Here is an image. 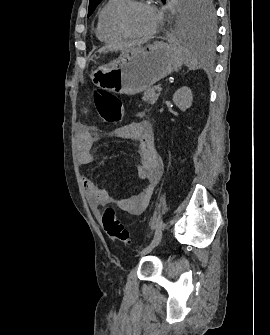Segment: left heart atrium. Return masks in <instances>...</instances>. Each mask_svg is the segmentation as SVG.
Returning a JSON list of instances; mask_svg holds the SVG:
<instances>
[{"label": "left heart atrium", "instance_id": "obj_1", "mask_svg": "<svg viewBox=\"0 0 270 335\" xmlns=\"http://www.w3.org/2000/svg\"><path fill=\"white\" fill-rule=\"evenodd\" d=\"M145 10H146V12H147V14L150 18V22H151V25H150V28H149L148 32H151L159 25V23L161 22V17L157 13V11L152 9V8H145Z\"/></svg>", "mask_w": 270, "mask_h": 335}]
</instances>
